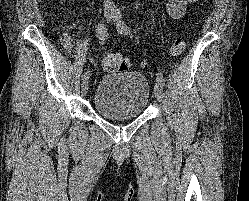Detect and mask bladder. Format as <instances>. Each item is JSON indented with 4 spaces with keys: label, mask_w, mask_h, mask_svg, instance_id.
<instances>
[{
    "label": "bladder",
    "mask_w": 249,
    "mask_h": 201,
    "mask_svg": "<svg viewBox=\"0 0 249 201\" xmlns=\"http://www.w3.org/2000/svg\"><path fill=\"white\" fill-rule=\"evenodd\" d=\"M150 98L149 83L138 72L105 74L93 96L96 112L111 120H128L141 116Z\"/></svg>",
    "instance_id": "bladder-1"
}]
</instances>
